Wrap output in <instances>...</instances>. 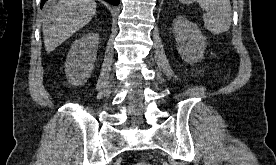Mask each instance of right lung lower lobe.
Here are the masks:
<instances>
[{"label":"right lung lower lobe","mask_w":276,"mask_h":165,"mask_svg":"<svg viewBox=\"0 0 276 165\" xmlns=\"http://www.w3.org/2000/svg\"><path fill=\"white\" fill-rule=\"evenodd\" d=\"M45 1L47 0H41V6H43V4L45 3ZM107 1L108 3L112 4V5H118L120 3V0H105Z\"/></svg>","instance_id":"obj_1"}]
</instances>
